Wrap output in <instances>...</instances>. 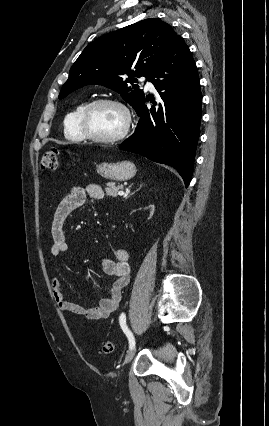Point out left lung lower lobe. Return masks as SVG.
Listing matches in <instances>:
<instances>
[{
  "instance_id": "left-lung-lower-lobe-1",
  "label": "left lung lower lobe",
  "mask_w": 269,
  "mask_h": 426,
  "mask_svg": "<svg viewBox=\"0 0 269 426\" xmlns=\"http://www.w3.org/2000/svg\"><path fill=\"white\" fill-rule=\"evenodd\" d=\"M148 80L161 99L150 109L147 99L135 108L140 117L137 128L120 149L174 167L187 187L200 134L202 94L195 61L182 37L159 60Z\"/></svg>"
}]
</instances>
